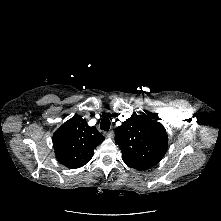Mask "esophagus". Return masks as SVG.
Segmentation results:
<instances>
[{
    "mask_svg": "<svg viewBox=\"0 0 221 221\" xmlns=\"http://www.w3.org/2000/svg\"><path fill=\"white\" fill-rule=\"evenodd\" d=\"M104 135L108 138H112L114 135V132L112 130H110V131L105 132Z\"/></svg>",
    "mask_w": 221,
    "mask_h": 221,
    "instance_id": "1",
    "label": "esophagus"
}]
</instances>
